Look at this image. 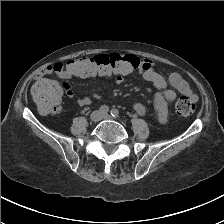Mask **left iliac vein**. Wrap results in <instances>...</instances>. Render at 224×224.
Here are the masks:
<instances>
[{"label":"left iliac vein","mask_w":224,"mask_h":224,"mask_svg":"<svg viewBox=\"0 0 224 224\" xmlns=\"http://www.w3.org/2000/svg\"><path fill=\"white\" fill-rule=\"evenodd\" d=\"M102 119H111V116L109 114H103Z\"/></svg>","instance_id":"left-iliac-vein-1"}]
</instances>
